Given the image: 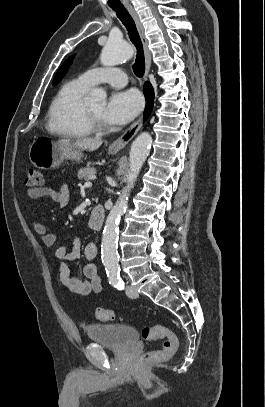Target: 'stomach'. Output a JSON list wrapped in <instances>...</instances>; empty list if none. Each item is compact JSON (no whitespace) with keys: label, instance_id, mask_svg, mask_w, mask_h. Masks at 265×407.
Wrapping results in <instances>:
<instances>
[{"label":"stomach","instance_id":"1","mask_svg":"<svg viewBox=\"0 0 265 407\" xmlns=\"http://www.w3.org/2000/svg\"><path fill=\"white\" fill-rule=\"evenodd\" d=\"M109 153L114 154L115 151L109 150ZM82 157L79 148L64 146L49 139H37L29 149V159L39 169L57 168L64 160H80Z\"/></svg>","mask_w":265,"mask_h":407}]
</instances>
